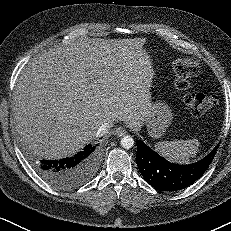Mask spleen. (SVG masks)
I'll list each match as a JSON object with an SVG mask.
<instances>
[{"label":"spleen","instance_id":"obj_1","mask_svg":"<svg viewBox=\"0 0 231 231\" xmlns=\"http://www.w3.org/2000/svg\"><path fill=\"white\" fill-rule=\"evenodd\" d=\"M199 145L197 139L161 141L155 144V150L169 161L186 164L196 156Z\"/></svg>","mask_w":231,"mask_h":231}]
</instances>
